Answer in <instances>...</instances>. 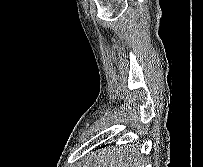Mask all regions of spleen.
Here are the masks:
<instances>
[{
  "instance_id": "3e777b00",
  "label": "spleen",
  "mask_w": 203,
  "mask_h": 167,
  "mask_svg": "<svg viewBox=\"0 0 203 167\" xmlns=\"http://www.w3.org/2000/svg\"><path fill=\"white\" fill-rule=\"evenodd\" d=\"M135 161L136 159L128 154H110L98 160V163L94 167H134L132 166L133 164H138Z\"/></svg>"
}]
</instances>
